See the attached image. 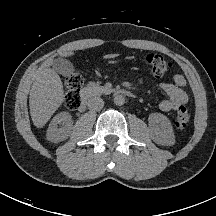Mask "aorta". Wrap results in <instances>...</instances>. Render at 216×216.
Returning <instances> with one entry per match:
<instances>
[{"label": "aorta", "instance_id": "obj_1", "mask_svg": "<svg viewBox=\"0 0 216 216\" xmlns=\"http://www.w3.org/2000/svg\"><path fill=\"white\" fill-rule=\"evenodd\" d=\"M125 103V98L122 95H116L114 97V104L117 106H122Z\"/></svg>", "mask_w": 216, "mask_h": 216}]
</instances>
